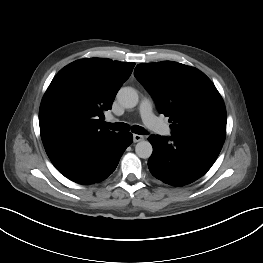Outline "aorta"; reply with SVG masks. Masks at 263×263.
<instances>
[{
  "label": "aorta",
  "mask_w": 263,
  "mask_h": 263,
  "mask_svg": "<svg viewBox=\"0 0 263 263\" xmlns=\"http://www.w3.org/2000/svg\"><path fill=\"white\" fill-rule=\"evenodd\" d=\"M118 102L125 108H133L138 104V94L131 87H123L117 93ZM138 157L147 159L153 152L152 145L148 141H140L135 146Z\"/></svg>",
  "instance_id": "1"
}]
</instances>
